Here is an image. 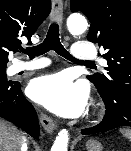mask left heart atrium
Wrapping results in <instances>:
<instances>
[{
    "label": "left heart atrium",
    "instance_id": "obj_1",
    "mask_svg": "<svg viewBox=\"0 0 131 151\" xmlns=\"http://www.w3.org/2000/svg\"><path fill=\"white\" fill-rule=\"evenodd\" d=\"M27 91L32 100L66 117L79 115L87 101L86 87L64 73L38 77L31 81Z\"/></svg>",
    "mask_w": 131,
    "mask_h": 151
}]
</instances>
